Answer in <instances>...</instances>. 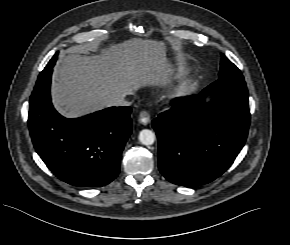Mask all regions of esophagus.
Masks as SVG:
<instances>
[{
    "label": "esophagus",
    "instance_id": "esophagus-1",
    "mask_svg": "<svg viewBox=\"0 0 290 245\" xmlns=\"http://www.w3.org/2000/svg\"><path fill=\"white\" fill-rule=\"evenodd\" d=\"M138 121L143 125H147L148 123H150V114L148 113V111H141L138 116Z\"/></svg>",
    "mask_w": 290,
    "mask_h": 245
}]
</instances>
